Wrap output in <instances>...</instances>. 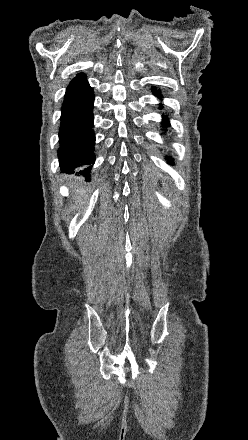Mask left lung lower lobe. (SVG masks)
<instances>
[{"label": "left lung lower lobe", "mask_w": 248, "mask_h": 440, "mask_svg": "<svg viewBox=\"0 0 248 440\" xmlns=\"http://www.w3.org/2000/svg\"><path fill=\"white\" fill-rule=\"evenodd\" d=\"M152 91L154 92V94H156L157 96H159V91H157V88H156V87H153V88H152ZM163 126H164V127L169 126L168 120H167L165 117H164ZM166 159L168 160L169 157H166ZM170 164H174L172 158H171V160H170Z\"/></svg>", "instance_id": "obj_1"}]
</instances>
